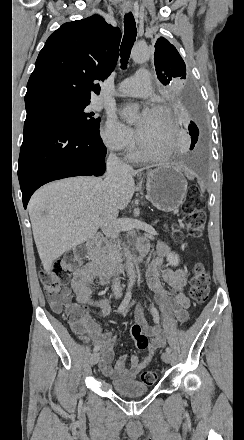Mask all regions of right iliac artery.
Returning <instances> with one entry per match:
<instances>
[{
	"instance_id": "1",
	"label": "right iliac artery",
	"mask_w": 244,
	"mask_h": 440,
	"mask_svg": "<svg viewBox=\"0 0 244 440\" xmlns=\"http://www.w3.org/2000/svg\"><path fill=\"white\" fill-rule=\"evenodd\" d=\"M130 299H131V290L128 289L123 301L121 302L120 306L117 309L118 313L124 311V309L128 306ZM99 349H100L99 345H96L93 351L97 352Z\"/></svg>"
}]
</instances>
